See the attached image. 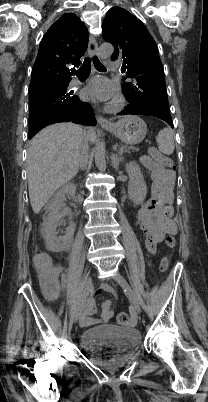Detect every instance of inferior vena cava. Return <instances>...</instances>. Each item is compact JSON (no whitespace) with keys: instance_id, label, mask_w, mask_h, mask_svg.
Listing matches in <instances>:
<instances>
[{"instance_id":"1","label":"inferior vena cava","mask_w":208,"mask_h":402,"mask_svg":"<svg viewBox=\"0 0 208 402\" xmlns=\"http://www.w3.org/2000/svg\"><path fill=\"white\" fill-rule=\"evenodd\" d=\"M78 162L80 170H85L88 164V140L82 136L81 142L77 150Z\"/></svg>"}]
</instances>
